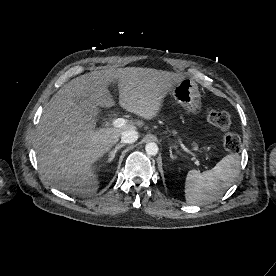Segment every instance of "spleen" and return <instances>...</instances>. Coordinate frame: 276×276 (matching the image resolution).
Masks as SVG:
<instances>
[{"instance_id": "obj_1", "label": "spleen", "mask_w": 276, "mask_h": 276, "mask_svg": "<svg viewBox=\"0 0 276 276\" xmlns=\"http://www.w3.org/2000/svg\"><path fill=\"white\" fill-rule=\"evenodd\" d=\"M240 157L230 154L214 168L200 173L190 170L185 180V199L192 205H203L220 198L239 173Z\"/></svg>"}]
</instances>
